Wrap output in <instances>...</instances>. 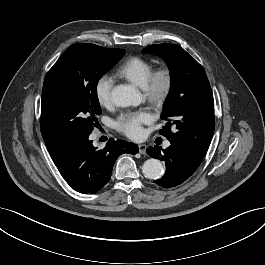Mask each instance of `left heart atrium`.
Masks as SVG:
<instances>
[{"label":"left heart atrium","mask_w":265,"mask_h":265,"mask_svg":"<svg viewBox=\"0 0 265 265\" xmlns=\"http://www.w3.org/2000/svg\"><path fill=\"white\" fill-rule=\"evenodd\" d=\"M152 121V116L147 110L120 115L114 126L131 139H140L143 134V125Z\"/></svg>","instance_id":"obj_1"}]
</instances>
